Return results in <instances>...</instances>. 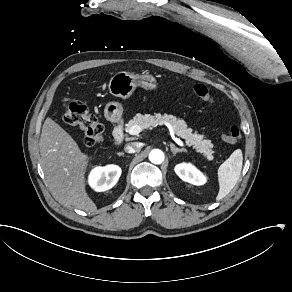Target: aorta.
Returning a JSON list of instances; mask_svg holds the SVG:
<instances>
[{
    "label": "aorta",
    "mask_w": 292,
    "mask_h": 292,
    "mask_svg": "<svg viewBox=\"0 0 292 292\" xmlns=\"http://www.w3.org/2000/svg\"><path fill=\"white\" fill-rule=\"evenodd\" d=\"M149 160L153 164H162L165 160V156L162 151L160 150H153L149 154Z\"/></svg>",
    "instance_id": "aorta-1"
}]
</instances>
